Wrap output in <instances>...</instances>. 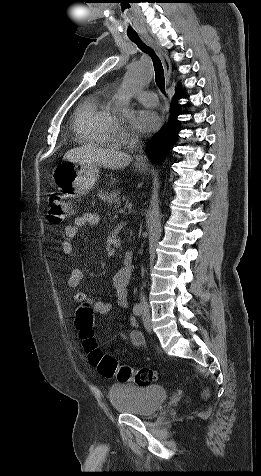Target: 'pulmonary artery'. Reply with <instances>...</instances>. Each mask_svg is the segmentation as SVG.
Wrapping results in <instances>:
<instances>
[{
  "label": "pulmonary artery",
  "instance_id": "1",
  "mask_svg": "<svg viewBox=\"0 0 261 476\" xmlns=\"http://www.w3.org/2000/svg\"><path fill=\"white\" fill-rule=\"evenodd\" d=\"M136 99L145 106L154 107L158 104V98L155 92L144 90L135 95Z\"/></svg>",
  "mask_w": 261,
  "mask_h": 476
}]
</instances>
